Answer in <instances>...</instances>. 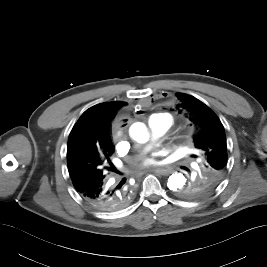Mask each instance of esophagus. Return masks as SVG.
<instances>
[{
    "mask_svg": "<svg viewBox=\"0 0 267 267\" xmlns=\"http://www.w3.org/2000/svg\"><path fill=\"white\" fill-rule=\"evenodd\" d=\"M152 171H153L154 173L159 174V175H168V174L171 173V169H169V168H160V167L155 168V169H153Z\"/></svg>",
    "mask_w": 267,
    "mask_h": 267,
    "instance_id": "obj_1",
    "label": "esophagus"
}]
</instances>
